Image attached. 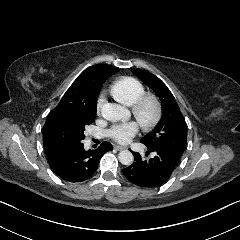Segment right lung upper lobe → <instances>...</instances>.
Here are the masks:
<instances>
[{"mask_svg": "<svg viewBox=\"0 0 240 240\" xmlns=\"http://www.w3.org/2000/svg\"><path fill=\"white\" fill-rule=\"evenodd\" d=\"M119 71L117 67L98 64L86 69L70 86L59 104L54 108L43 128L44 149L50 148L47 144L46 134L48 122L51 117L65 110L76 109H96L97 96L101 90L104 81L114 73Z\"/></svg>", "mask_w": 240, "mask_h": 240, "instance_id": "cb5924a9", "label": "right lung upper lobe"}]
</instances>
